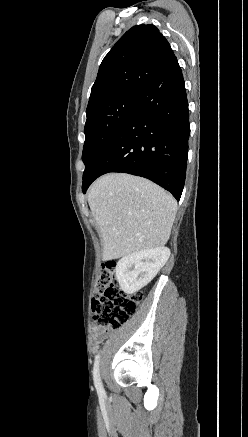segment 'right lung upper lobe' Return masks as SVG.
Segmentation results:
<instances>
[{
  "instance_id": "1",
  "label": "right lung upper lobe",
  "mask_w": 248,
  "mask_h": 437,
  "mask_svg": "<svg viewBox=\"0 0 248 437\" xmlns=\"http://www.w3.org/2000/svg\"><path fill=\"white\" fill-rule=\"evenodd\" d=\"M176 58L153 25L129 29L103 59L92 86L86 114L126 93H139Z\"/></svg>"
}]
</instances>
